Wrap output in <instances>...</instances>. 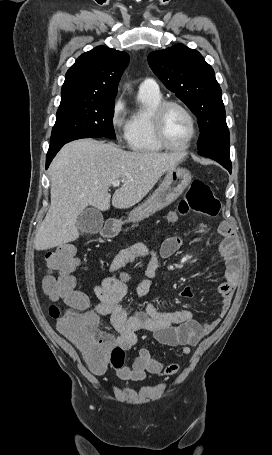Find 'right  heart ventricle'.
Segmentation results:
<instances>
[{
    "instance_id": "right-heart-ventricle-1",
    "label": "right heart ventricle",
    "mask_w": 272,
    "mask_h": 455,
    "mask_svg": "<svg viewBox=\"0 0 272 455\" xmlns=\"http://www.w3.org/2000/svg\"><path fill=\"white\" fill-rule=\"evenodd\" d=\"M138 99L141 108L132 113L128 120L126 141L128 147L135 152L157 153L163 147L156 141L151 124L154 108L162 101L161 94L139 91Z\"/></svg>"
}]
</instances>
